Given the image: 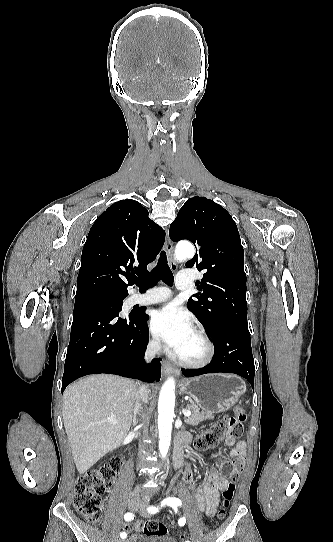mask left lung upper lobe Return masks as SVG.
<instances>
[{
    "mask_svg": "<svg viewBox=\"0 0 333 542\" xmlns=\"http://www.w3.org/2000/svg\"><path fill=\"white\" fill-rule=\"evenodd\" d=\"M172 241L190 240L198 250L187 268L206 270L187 303L210 336L228 320L247 321L244 250L237 226L219 204L205 197L186 201L170 225Z\"/></svg>",
    "mask_w": 333,
    "mask_h": 542,
    "instance_id": "5c2ea615",
    "label": "left lung upper lobe"
}]
</instances>
